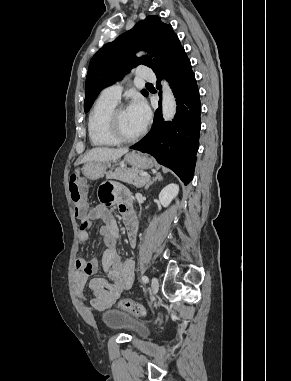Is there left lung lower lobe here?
I'll list each match as a JSON object with an SVG mask.
<instances>
[{"label":"left lung lower lobe","instance_id":"0a47b994","mask_svg":"<svg viewBox=\"0 0 291 381\" xmlns=\"http://www.w3.org/2000/svg\"><path fill=\"white\" fill-rule=\"evenodd\" d=\"M162 76L175 94L176 115L172 122H163L158 109L150 133L130 148L149 153L160 164L172 169L186 185L192 180L195 169L201 106L195 75L184 48L157 74L158 87Z\"/></svg>","mask_w":291,"mask_h":381}]
</instances>
